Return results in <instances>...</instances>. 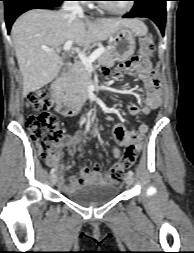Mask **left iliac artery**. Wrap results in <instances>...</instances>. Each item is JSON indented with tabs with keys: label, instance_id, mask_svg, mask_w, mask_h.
<instances>
[{
	"label": "left iliac artery",
	"instance_id": "obj_1",
	"mask_svg": "<svg viewBox=\"0 0 194 253\" xmlns=\"http://www.w3.org/2000/svg\"><path fill=\"white\" fill-rule=\"evenodd\" d=\"M128 174L133 176L134 173L133 171H128Z\"/></svg>",
	"mask_w": 194,
	"mask_h": 253
}]
</instances>
